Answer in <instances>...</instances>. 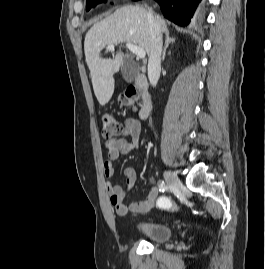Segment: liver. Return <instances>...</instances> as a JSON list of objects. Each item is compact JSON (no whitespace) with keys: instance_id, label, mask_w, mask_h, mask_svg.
I'll use <instances>...</instances> for the list:
<instances>
[{"instance_id":"1","label":"liver","mask_w":265,"mask_h":269,"mask_svg":"<svg viewBox=\"0 0 265 269\" xmlns=\"http://www.w3.org/2000/svg\"><path fill=\"white\" fill-rule=\"evenodd\" d=\"M147 14L148 12L140 6H124L95 23L87 32L84 52L93 90L100 105L104 106L111 99L114 92L113 75L124 62L122 51H118L112 59L101 58L100 52L110 44L126 42L143 48L150 56L151 36ZM153 19L161 32L167 31L164 19L158 15H154Z\"/></svg>"}]
</instances>
